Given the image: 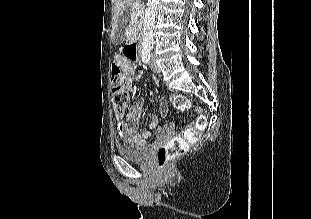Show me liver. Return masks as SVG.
<instances>
[{
	"label": "liver",
	"instance_id": "1",
	"mask_svg": "<svg viewBox=\"0 0 311 219\" xmlns=\"http://www.w3.org/2000/svg\"><path fill=\"white\" fill-rule=\"evenodd\" d=\"M132 0H112L113 5V35L118 26V20Z\"/></svg>",
	"mask_w": 311,
	"mask_h": 219
}]
</instances>
